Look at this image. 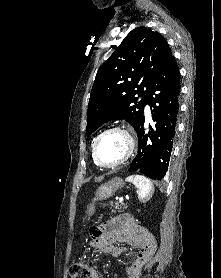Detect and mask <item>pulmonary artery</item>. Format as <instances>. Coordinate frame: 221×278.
I'll list each match as a JSON object with an SVG mask.
<instances>
[{"mask_svg":"<svg viewBox=\"0 0 221 278\" xmlns=\"http://www.w3.org/2000/svg\"><path fill=\"white\" fill-rule=\"evenodd\" d=\"M145 114H146V117L149 118V116H150V108H149L148 105H146V107H145Z\"/></svg>","mask_w":221,"mask_h":278,"instance_id":"pulmonary-artery-1","label":"pulmonary artery"}]
</instances>
